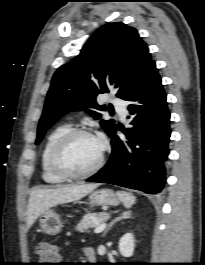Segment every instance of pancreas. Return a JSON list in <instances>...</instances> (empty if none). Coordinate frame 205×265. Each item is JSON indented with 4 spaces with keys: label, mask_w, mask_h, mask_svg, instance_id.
Segmentation results:
<instances>
[{
    "label": "pancreas",
    "mask_w": 205,
    "mask_h": 265,
    "mask_svg": "<svg viewBox=\"0 0 205 265\" xmlns=\"http://www.w3.org/2000/svg\"><path fill=\"white\" fill-rule=\"evenodd\" d=\"M108 217H109V215L107 213H104V212L88 213V214L83 216V218L77 224L75 229L81 233L88 232L90 228H94L98 224L104 223ZM94 220H96L98 222V224H95Z\"/></svg>",
    "instance_id": "obj_1"
}]
</instances>
